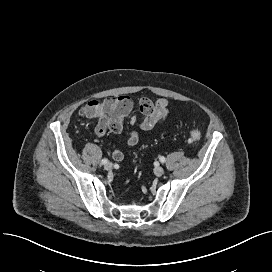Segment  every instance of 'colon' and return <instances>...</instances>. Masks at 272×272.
Listing matches in <instances>:
<instances>
[{
  "mask_svg": "<svg viewBox=\"0 0 272 272\" xmlns=\"http://www.w3.org/2000/svg\"><path fill=\"white\" fill-rule=\"evenodd\" d=\"M122 124L121 119L117 116L116 112L110 107H105L99 115V125L102 129H117ZM201 138V132L198 128H192L189 134L188 142L190 144L197 143Z\"/></svg>",
  "mask_w": 272,
  "mask_h": 272,
  "instance_id": "1",
  "label": "colon"
}]
</instances>
